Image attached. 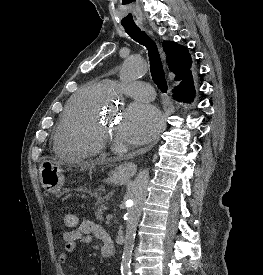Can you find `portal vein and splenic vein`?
<instances>
[{"label": "portal vein and splenic vein", "mask_w": 263, "mask_h": 275, "mask_svg": "<svg viewBox=\"0 0 263 275\" xmlns=\"http://www.w3.org/2000/svg\"><path fill=\"white\" fill-rule=\"evenodd\" d=\"M112 218V215L111 214H108L107 216H106V219L107 220H110Z\"/></svg>", "instance_id": "1"}]
</instances>
